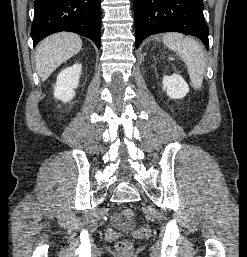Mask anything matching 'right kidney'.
<instances>
[{
	"label": "right kidney",
	"mask_w": 247,
	"mask_h": 257,
	"mask_svg": "<svg viewBox=\"0 0 247 257\" xmlns=\"http://www.w3.org/2000/svg\"><path fill=\"white\" fill-rule=\"evenodd\" d=\"M81 71L82 65L79 63L63 69L57 76L54 97L69 102L75 96L74 89L79 85Z\"/></svg>",
	"instance_id": "1"
}]
</instances>
